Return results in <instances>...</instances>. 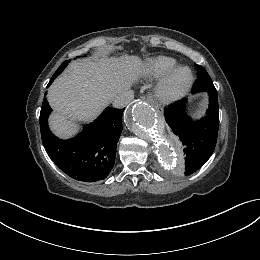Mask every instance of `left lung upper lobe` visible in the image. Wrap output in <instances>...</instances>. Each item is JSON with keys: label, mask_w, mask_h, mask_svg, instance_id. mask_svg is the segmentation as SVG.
Here are the masks:
<instances>
[{"label": "left lung upper lobe", "mask_w": 260, "mask_h": 260, "mask_svg": "<svg viewBox=\"0 0 260 260\" xmlns=\"http://www.w3.org/2000/svg\"><path fill=\"white\" fill-rule=\"evenodd\" d=\"M196 68L198 70V78L193 86V93L216 90L207 71L200 65H196Z\"/></svg>", "instance_id": "obj_1"}]
</instances>
